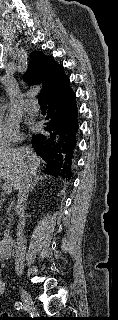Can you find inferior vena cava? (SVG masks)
<instances>
[{"mask_svg": "<svg viewBox=\"0 0 118 320\" xmlns=\"http://www.w3.org/2000/svg\"><path fill=\"white\" fill-rule=\"evenodd\" d=\"M23 158L30 160L33 154L32 149L29 147H20L19 149ZM32 175L30 170L26 169L20 185L18 187V199L17 204L15 206V213L19 216V221L17 225V239L15 245V271L18 276L22 275L24 270V262H25V252H26V238L23 235V229L25 226V219L23 216L24 206L28 198V194L31 187Z\"/></svg>", "mask_w": 118, "mask_h": 320, "instance_id": "obj_1", "label": "inferior vena cava"}]
</instances>
